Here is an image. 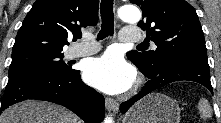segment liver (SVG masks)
Wrapping results in <instances>:
<instances>
[{"label":"liver","instance_id":"6515ba94","mask_svg":"<svg viewBox=\"0 0 221 123\" xmlns=\"http://www.w3.org/2000/svg\"><path fill=\"white\" fill-rule=\"evenodd\" d=\"M0 123H81V120L59 105L27 100L3 111Z\"/></svg>","mask_w":221,"mask_h":123}]
</instances>
